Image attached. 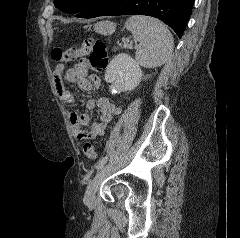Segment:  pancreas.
Returning <instances> with one entry per match:
<instances>
[{"label":"pancreas","instance_id":"pancreas-1","mask_svg":"<svg viewBox=\"0 0 240 238\" xmlns=\"http://www.w3.org/2000/svg\"><path fill=\"white\" fill-rule=\"evenodd\" d=\"M117 50V48H114V51H116Z\"/></svg>","mask_w":240,"mask_h":238}]
</instances>
